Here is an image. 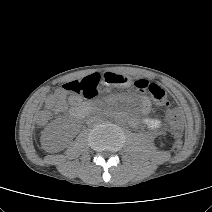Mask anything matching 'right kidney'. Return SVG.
Returning <instances> with one entry per match:
<instances>
[{
	"instance_id": "right-kidney-1",
	"label": "right kidney",
	"mask_w": 212,
	"mask_h": 212,
	"mask_svg": "<svg viewBox=\"0 0 212 212\" xmlns=\"http://www.w3.org/2000/svg\"><path fill=\"white\" fill-rule=\"evenodd\" d=\"M60 136L61 135L58 132L49 130L43 140V144L46 145V144H50V143H55L58 141Z\"/></svg>"
}]
</instances>
